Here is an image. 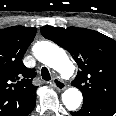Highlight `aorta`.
<instances>
[{"label":"aorta","instance_id":"obj_1","mask_svg":"<svg viewBox=\"0 0 116 116\" xmlns=\"http://www.w3.org/2000/svg\"><path fill=\"white\" fill-rule=\"evenodd\" d=\"M32 53L37 60L61 74L67 73L68 68H73L66 52L51 42H37L32 48ZM82 100V93L74 87L68 88L62 94V101L70 111L76 110L81 105Z\"/></svg>","mask_w":116,"mask_h":116}]
</instances>
